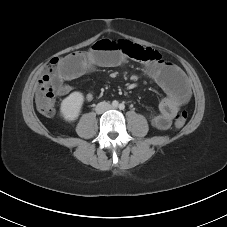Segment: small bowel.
<instances>
[{
    "label": "small bowel",
    "mask_w": 227,
    "mask_h": 227,
    "mask_svg": "<svg viewBox=\"0 0 227 227\" xmlns=\"http://www.w3.org/2000/svg\"><path fill=\"white\" fill-rule=\"evenodd\" d=\"M126 56L116 48L112 40L102 39L88 51H79L64 57L53 78L55 93L58 96L67 95L72 91L69 81L96 67L119 66L125 62ZM146 73L165 93L159 103L158 112L149 114V121L156 129L166 130L170 127L173 116L190 98L186 77L176 65L161 60L148 65ZM84 99L91 101L93 94H86Z\"/></svg>",
    "instance_id": "1"
}]
</instances>
